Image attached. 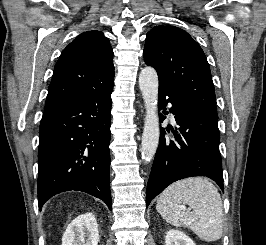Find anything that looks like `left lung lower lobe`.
Returning a JSON list of instances; mask_svg holds the SVG:
<instances>
[{
	"mask_svg": "<svg viewBox=\"0 0 266 245\" xmlns=\"http://www.w3.org/2000/svg\"><path fill=\"white\" fill-rule=\"evenodd\" d=\"M166 96L169 99L165 100ZM167 102L172 104L170 110L179 127L172 131L175 140L166 139L165 129H161L147 185L146 206L168 185L187 177H209L224 192L217 114L180 98L159 85V109L165 108ZM160 119L163 122V115Z\"/></svg>",
	"mask_w": 266,
	"mask_h": 245,
	"instance_id": "0a47b994",
	"label": "left lung lower lobe"
}]
</instances>
